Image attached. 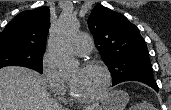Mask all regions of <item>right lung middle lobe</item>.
<instances>
[{
  "label": "right lung middle lobe",
  "instance_id": "obj_1",
  "mask_svg": "<svg viewBox=\"0 0 171 110\" xmlns=\"http://www.w3.org/2000/svg\"><path fill=\"white\" fill-rule=\"evenodd\" d=\"M44 51H36L14 43H0V68L25 66L42 73Z\"/></svg>",
  "mask_w": 171,
  "mask_h": 110
}]
</instances>
